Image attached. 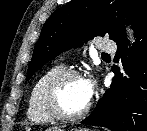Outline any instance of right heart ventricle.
Returning <instances> with one entry per match:
<instances>
[{
    "label": "right heart ventricle",
    "mask_w": 147,
    "mask_h": 131,
    "mask_svg": "<svg viewBox=\"0 0 147 131\" xmlns=\"http://www.w3.org/2000/svg\"><path fill=\"white\" fill-rule=\"evenodd\" d=\"M62 65H54L45 70L34 82L27 105V117L35 124H48L55 119L47 112L43 103V90L47 82L56 74L64 71Z\"/></svg>",
    "instance_id": "e07e8e85"
}]
</instances>
